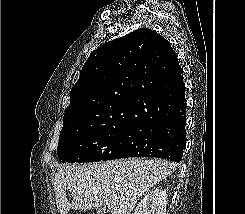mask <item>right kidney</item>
<instances>
[{
	"instance_id": "ca27d5eb",
	"label": "right kidney",
	"mask_w": 245,
	"mask_h": 214,
	"mask_svg": "<svg viewBox=\"0 0 245 214\" xmlns=\"http://www.w3.org/2000/svg\"><path fill=\"white\" fill-rule=\"evenodd\" d=\"M167 194L163 189H154L138 203L134 214H166Z\"/></svg>"
}]
</instances>
